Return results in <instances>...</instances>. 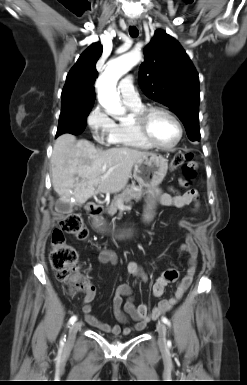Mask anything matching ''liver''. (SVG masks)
Here are the masks:
<instances>
[{"label": "liver", "instance_id": "1", "mask_svg": "<svg viewBox=\"0 0 247 385\" xmlns=\"http://www.w3.org/2000/svg\"><path fill=\"white\" fill-rule=\"evenodd\" d=\"M132 148H96L70 133L53 146L52 185L60 201L83 204L97 193H116L128 183L135 162L147 155Z\"/></svg>", "mask_w": 247, "mask_h": 385}]
</instances>
